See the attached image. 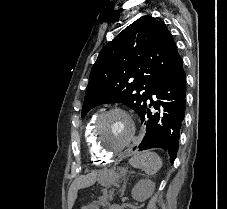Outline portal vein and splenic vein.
I'll list each match as a JSON object with an SVG mask.
<instances>
[{
  "label": "portal vein and splenic vein",
  "instance_id": "18ae733b",
  "mask_svg": "<svg viewBox=\"0 0 227 209\" xmlns=\"http://www.w3.org/2000/svg\"><path fill=\"white\" fill-rule=\"evenodd\" d=\"M108 195L107 196H101L100 198L98 197L97 199L99 200H101V201H106L107 199H108Z\"/></svg>",
  "mask_w": 227,
  "mask_h": 209
}]
</instances>
